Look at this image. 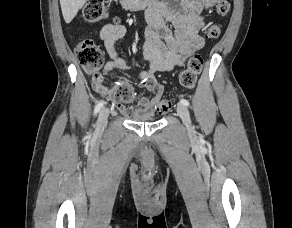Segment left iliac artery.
I'll return each instance as SVG.
<instances>
[{
  "label": "left iliac artery",
  "mask_w": 292,
  "mask_h": 228,
  "mask_svg": "<svg viewBox=\"0 0 292 228\" xmlns=\"http://www.w3.org/2000/svg\"><path fill=\"white\" fill-rule=\"evenodd\" d=\"M180 103L183 104V105H185V106H189V102L186 99H181L180 100Z\"/></svg>",
  "instance_id": "44dca946"
}]
</instances>
